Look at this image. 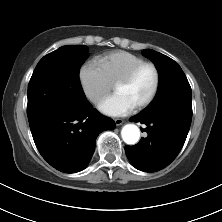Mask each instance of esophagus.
Listing matches in <instances>:
<instances>
[{
  "mask_svg": "<svg viewBox=\"0 0 222 222\" xmlns=\"http://www.w3.org/2000/svg\"><path fill=\"white\" fill-rule=\"evenodd\" d=\"M115 124L117 125V126H120V125H122L123 124V120L122 119H120V118H116L115 120Z\"/></svg>",
  "mask_w": 222,
  "mask_h": 222,
  "instance_id": "34e87169",
  "label": "esophagus"
}]
</instances>
